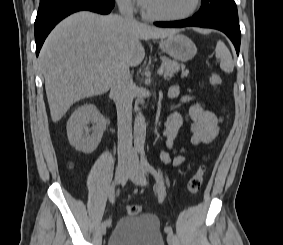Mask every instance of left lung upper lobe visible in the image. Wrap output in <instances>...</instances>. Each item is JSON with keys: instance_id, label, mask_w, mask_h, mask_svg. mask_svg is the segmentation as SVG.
<instances>
[{"instance_id": "left-lung-upper-lobe-1", "label": "left lung upper lobe", "mask_w": 283, "mask_h": 245, "mask_svg": "<svg viewBox=\"0 0 283 245\" xmlns=\"http://www.w3.org/2000/svg\"><path fill=\"white\" fill-rule=\"evenodd\" d=\"M194 17L221 21L239 27L238 12L234 0H202L201 8Z\"/></svg>"}]
</instances>
